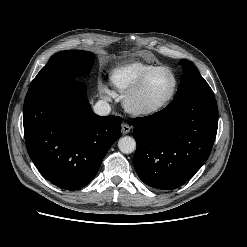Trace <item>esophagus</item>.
I'll return each mask as SVG.
<instances>
[{
	"label": "esophagus",
	"mask_w": 247,
	"mask_h": 247,
	"mask_svg": "<svg viewBox=\"0 0 247 247\" xmlns=\"http://www.w3.org/2000/svg\"><path fill=\"white\" fill-rule=\"evenodd\" d=\"M130 131H131V127L128 124L123 123L122 124V133L125 135V134H128Z\"/></svg>",
	"instance_id": "1"
}]
</instances>
